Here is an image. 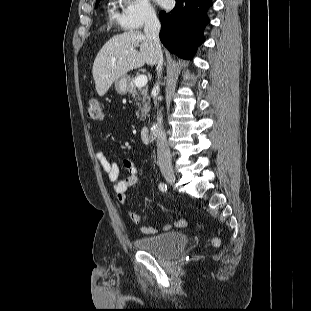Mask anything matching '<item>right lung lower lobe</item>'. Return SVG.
I'll return each instance as SVG.
<instances>
[{
    "label": "right lung lower lobe",
    "instance_id": "obj_1",
    "mask_svg": "<svg viewBox=\"0 0 311 311\" xmlns=\"http://www.w3.org/2000/svg\"><path fill=\"white\" fill-rule=\"evenodd\" d=\"M212 5V0H176L172 11H161L159 37L164 46L180 57H191L204 42L203 30L209 23L207 13Z\"/></svg>",
    "mask_w": 311,
    "mask_h": 311
}]
</instances>
